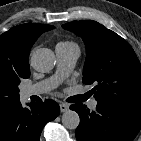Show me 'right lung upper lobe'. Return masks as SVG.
Returning <instances> with one entry per match:
<instances>
[{
    "mask_svg": "<svg viewBox=\"0 0 141 141\" xmlns=\"http://www.w3.org/2000/svg\"><path fill=\"white\" fill-rule=\"evenodd\" d=\"M47 24L26 23L17 25L0 35V72L15 74H30L29 51L44 32L53 29ZM18 100H12L0 105V111L6 109Z\"/></svg>",
    "mask_w": 141,
    "mask_h": 141,
    "instance_id": "right-lung-upper-lobe-1",
    "label": "right lung upper lobe"
}]
</instances>
